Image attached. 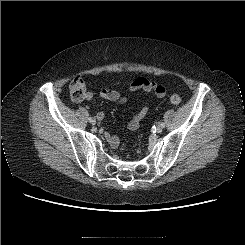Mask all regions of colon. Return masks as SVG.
Segmentation results:
<instances>
[{
	"mask_svg": "<svg viewBox=\"0 0 245 245\" xmlns=\"http://www.w3.org/2000/svg\"><path fill=\"white\" fill-rule=\"evenodd\" d=\"M139 79L138 84L141 86L153 88L157 92L165 91V88L162 85H157L144 78ZM69 94L74 101H83L87 97V87L83 78L76 77L71 81L69 85ZM170 100L173 104L177 105L181 102V97L179 95H172ZM119 149L120 151H124L126 149V144H121Z\"/></svg>",
	"mask_w": 245,
	"mask_h": 245,
	"instance_id": "obj_1",
	"label": "colon"
}]
</instances>
